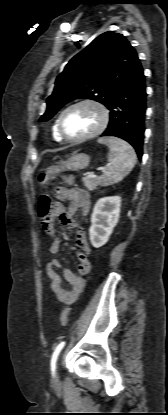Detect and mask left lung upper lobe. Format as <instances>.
<instances>
[{
	"label": "left lung upper lobe",
	"mask_w": 168,
	"mask_h": 415,
	"mask_svg": "<svg viewBox=\"0 0 168 415\" xmlns=\"http://www.w3.org/2000/svg\"><path fill=\"white\" fill-rule=\"evenodd\" d=\"M138 62L135 49L122 34L103 33L74 56L57 77L39 121L51 119L63 105L78 98L108 107Z\"/></svg>",
	"instance_id": "1"
}]
</instances>
